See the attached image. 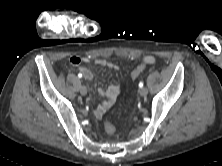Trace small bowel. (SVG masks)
Returning a JSON list of instances; mask_svg holds the SVG:
<instances>
[{
  "label": "small bowel",
  "mask_w": 222,
  "mask_h": 166,
  "mask_svg": "<svg viewBox=\"0 0 222 166\" xmlns=\"http://www.w3.org/2000/svg\"><path fill=\"white\" fill-rule=\"evenodd\" d=\"M90 59L87 57H81V56H72L70 58V63L73 66H76L79 68L81 73L83 74L84 78L92 81L94 78L93 73L90 69L81 66L83 63L89 62ZM144 62L148 64H152L155 62V58L153 56H145ZM95 63L100 66L108 67L109 69L118 70L119 66L113 62H109L104 59H96ZM121 85L120 84H111L106 89H99V94L105 97V100L102 101L100 104L97 105L95 109V115L98 118H101L104 113L115 103L116 98L120 92Z\"/></svg>",
  "instance_id": "1"
}]
</instances>
